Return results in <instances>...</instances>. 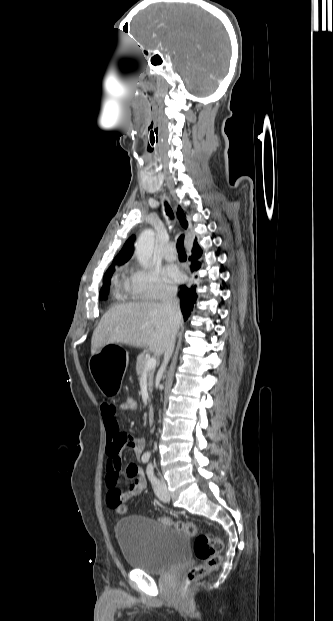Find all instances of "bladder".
I'll use <instances>...</instances> for the list:
<instances>
[{"label": "bladder", "mask_w": 333, "mask_h": 621, "mask_svg": "<svg viewBox=\"0 0 333 621\" xmlns=\"http://www.w3.org/2000/svg\"><path fill=\"white\" fill-rule=\"evenodd\" d=\"M115 534L126 564L152 575L169 573L189 554V538L158 519L133 515L120 519Z\"/></svg>", "instance_id": "obj_1"}]
</instances>
